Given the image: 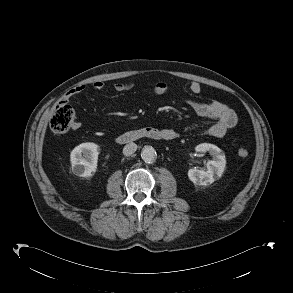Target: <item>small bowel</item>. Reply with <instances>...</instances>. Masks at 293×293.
Segmentation results:
<instances>
[{"label": "small bowel", "instance_id": "c3829d8e", "mask_svg": "<svg viewBox=\"0 0 293 293\" xmlns=\"http://www.w3.org/2000/svg\"><path fill=\"white\" fill-rule=\"evenodd\" d=\"M95 90H102L105 84L102 81H96L92 84ZM133 87L131 83H116L114 90L116 92H125ZM86 87L79 85L70 89L63 97L62 101L67 102L74 96L81 94ZM201 85L198 82H192L189 85V90L192 94L198 95L201 92ZM168 90V84L164 81H155L152 84V91L156 95H162ZM188 106L199 116L214 120L213 124L206 128L205 134L213 137H223L229 130L234 128L237 124L236 113L226 104L218 101L211 100L208 103L199 102L196 100H188ZM73 129H78L80 123L75 122ZM172 139L177 137V132L173 129L163 130Z\"/></svg>", "mask_w": 293, "mask_h": 293}]
</instances>
